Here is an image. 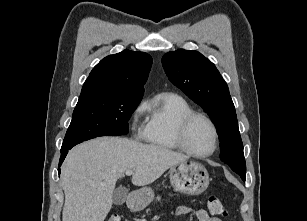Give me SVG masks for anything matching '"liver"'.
<instances>
[{
  "label": "liver",
  "mask_w": 307,
  "mask_h": 221,
  "mask_svg": "<svg viewBox=\"0 0 307 221\" xmlns=\"http://www.w3.org/2000/svg\"><path fill=\"white\" fill-rule=\"evenodd\" d=\"M188 156L127 138L100 137L72 148L62 165L65 194L62 221H104L116 182L127 170L132 183L146 186Z\"/></svg>",
  "instance_id": "6515ba94"
}]
</instances>
